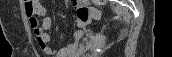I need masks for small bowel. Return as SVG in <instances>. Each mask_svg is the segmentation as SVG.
Masks as SVG:
<instances>
[{
    "instance_id": "1",
    "label": "small bowel",
    "mask_w": 172,
    "mask_h": 57,
    "mask_svg": "<svg viewBox=\"0 0 172 57\" xmlns=\"http://www.w3.org/2000/svg\"><path fill=\"white\" fill-rule=\"evenodd\" d=\"M25 14L28 24L33 30L39 48L49 56L69 57L74 53H81L84 45L81 43L83 36L82 30H76L73 41L66 47L55 49L50 45V35L48 30L51 27V19L47 15L46 8L39 0L25 1ZM41 18V20H39Z\"/></svg>"
}]
</instances>
